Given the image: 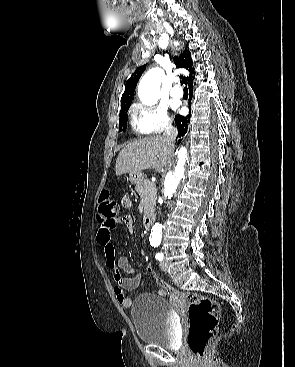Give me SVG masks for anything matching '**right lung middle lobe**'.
<instances>
[{
  "mask_svg": "<svg viewBox=\"0 0 295 367\" xmlns=\"http://www.w3.org/2000/svg\"><path fill=\"white\" fill-rule=\"evenodd\" d=\"M131 105V102L121 105L120 120H119V131H125L127 128V112Z\"/></svg>",
  "mask_w": 295,
  "mask_h": 367,
  "instance_id": "dd1d6c3e",
  "label": "right lung middle lobe"
}]
</instances>
